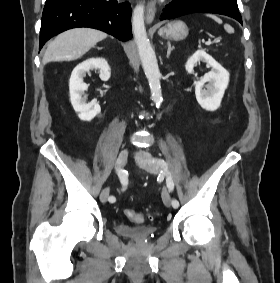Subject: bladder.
Returning a JSON list of instances; mask_svg holds the SVG:
<instances>
[{"mask_svg": "<svg viewBox=\"0 0 280 283\" xmlns=\"http://www.w3.org/2000/svg\"><path fill=\"white\" fill-rule=\"evenodd\" d=\"M154 225H136L131 226L123 222H117L115 224V231L129 239L142 242L150 239L156 232Z\"/></svg>", "mask_w": 280, "mask_h": 283, "instance_id": "obj_1", "label": "bladder"}]
</instances>
